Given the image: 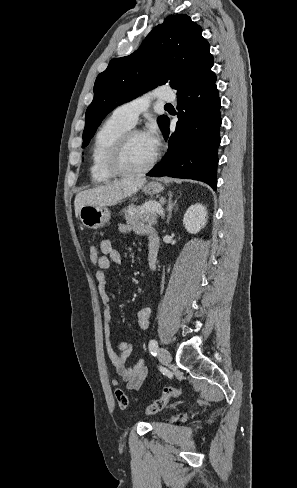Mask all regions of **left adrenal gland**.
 I'll return each instance as SVG.
<instances>
[{
	"mask_svg": "<svg viewBox=\"0 0 297 488\" xmlns=\"http://www.w3.org/2000/svg\"><path fill=\"white\" fill-rule=\"evenodd\" d=\"M168 201H167V208H166V211L168 212V218H167V222H169L170 218H171V215H172V210H173V207L176 203L175 202H172V194L171 192L168 194Z\"/></svg>",
	"mask_w": 297,
	"mask_h": 488,
	"instance_id": "left-adrenal-gland-1",
	"label": "left adrenal gland"
}]
</instances>
